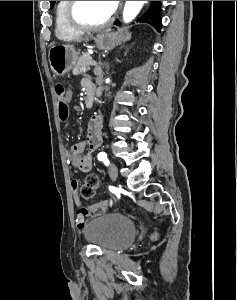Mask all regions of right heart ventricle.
Wrapping results in <instances>:
<instances>
[{
    "label": "right heart ventricle",
    "mask_w": 237,
    "mask_h": 300,
    "mask_svg": "<svg viewBox=\"0 0 237 300\" xmlns=\"http://www.w3.org/2000/svg\"><path fill=\"white\" fill-rule=\"evenodd\" d=\"M69 1H58L56 5V34L61 39H71L81 32L74 30L67 21L66 10Z\"/></svg>",
    "instance_id": "1"
}]
</instances>
